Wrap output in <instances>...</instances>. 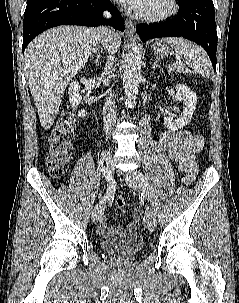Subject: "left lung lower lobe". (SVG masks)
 I'll use <instances>...</instances> for the list:
<instances>
[{"mask_svg": "<svg viewBox=\"0 0 239 303\" xmlns=\"http://www.w3.org/2000/svg\"><path fill=\"white\" fill-rule=\"evenodd\" d=\"M177 15L163 23L140 24L136 31L144 42L160 37H184L201 45L216 70L217 32L212 0L178 1Z\"/></svg>", "mask_w": 239, "mask_h": 303, "instance_id": "left-lung-lower-lobe-1", "label": "left lung lower lobe"}]
</instances>
